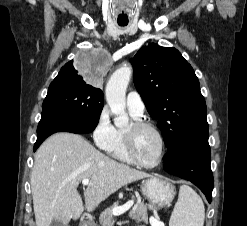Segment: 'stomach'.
<instances>
[{
  "mask_svg": "<svg viewBox=\"0 0 247 226\" xmlns=\"http://www.w3.org/2000/svg\"><path fill=\"white\" fill-rule=\"evenodd\" d=\"M141 192L149 200L150 209H160L169 205L175 196V187L160 177H149L141 183Z\"/></svg>",
  "mask_w": 247,
  "mask_h": 226,
  "instance_id": "obj_1",
  "label": "stomach"
}]
</instances>
